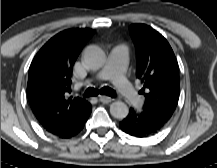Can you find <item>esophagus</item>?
I'll return each mask as SVG.
<instances>
[{"label": "esophagus", "mask_w": 217, "mask_h": 168, "mask_svg": "<svg viewBox=\"0 0 217 168\" xmlns=\"http://www.w3.org/2000/svg\"><path fill=\"white\" fill-rule=\"evenodd\" d=\"M99 101L103 104H108L112 101L111 97L105 96V95H100L99 96Z\"/></svg>", "instance_id": "1"}]
</instances>
